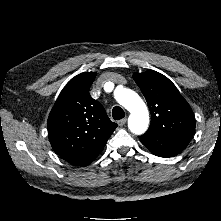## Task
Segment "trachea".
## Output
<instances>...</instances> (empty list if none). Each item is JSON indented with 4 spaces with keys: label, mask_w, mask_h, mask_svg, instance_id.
<instances>
[{
    "label": "trachea",
    "mask_w": 221,
    "mask_h": 221,
    "mask_svg": "<svg viewBox=\"0 0 221 221\" xmlns=\"http://www.w3.org/2000/svg\"><path fill=\"white\" fill-rule=\"evenodd\" d=\"M112 116L115 120H120L124 118L125 112L123 111L121 107L115 106L112 110Z\"/></svg>",
    "instance_id": "obj_1"
}]
</instances>
